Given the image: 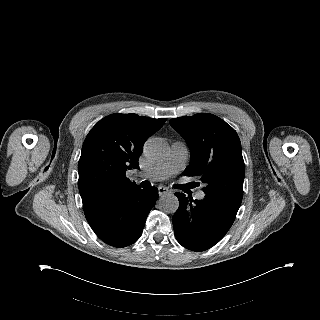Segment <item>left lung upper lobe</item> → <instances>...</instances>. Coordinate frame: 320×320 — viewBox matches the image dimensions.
<instances>
[{"label":"left lung upper lobe","mask_w":320,"mask_h":320,"mask_svg":"<svg viewBox=\"0 0 320 320\" xmlns=\"http://www.w3.org/2000/svg\"><path fill=\"white\" fill-rule=\"evenodd\" d=\"M170 125L190 148V164L184 174L199 177L206 195L239 208L245 171L236 131L217 116L204 113L173 118Z\"/></svg>","instance_id":"5c2ea615"}]
</instances>
